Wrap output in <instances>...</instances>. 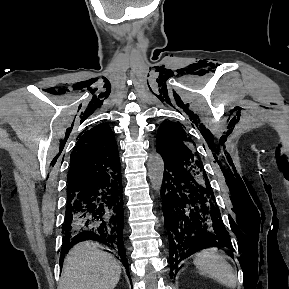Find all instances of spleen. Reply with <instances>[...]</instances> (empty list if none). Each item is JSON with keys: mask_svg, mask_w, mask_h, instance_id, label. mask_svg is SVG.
I'll return each instance as SVG.
<instances>
[{"mask_svg": "<svg viewBox=\"0 0 289 289\" xmlns=\"http://www.w3.org/2000/svg\"><path fill=\"white\" fill-rule=\"evenodd\" d=\"M193 262L200 274L214 279L223 286L235 289L237 277L231 264L224 255L219 253L217 248L204 249L198 252Z\"/></svg>", "mask_w": 289, "mask_h": 289, "instance_id": "3e777b00", "label": "spleen"}]
</instances>
